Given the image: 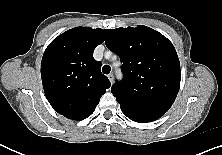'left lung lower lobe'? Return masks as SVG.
Segmentation results:
<instances>
[{
  "label": "left lung lower lobe",
  "mask_w": 222,
  "mask_h": 155,
  "mask_svg": "<svg viewBox=\"0 0 222 155\" xmlns=\"http://www.w3.org/2000/svg\"><path fill=\"white\" fill-rule=\"evenodd\" d=\"M129 119H131L132 121L138 122V123H146V122H151L154 121L156 119L152 118V117H148V116H142V115H138V114H133V113H129V112H124L122 111Z\"/></svg>",
  "instance_id": "0a47b994"
}]
</instances>
